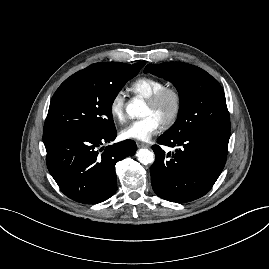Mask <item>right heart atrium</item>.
<instances>
[{"label": "right heart atrium", "instance_id": "1", "mask_svg": "<svg viewBox=\"0 0 269 269\" xmlns=\"http://www.w3.org/2000/svg\"><path fill=\"white\" fill-rule=\"evenodd\" d=\"M109 112L114 121L122 123L125 120V94L122 90L114 93L109 102Z\"/></svg>", "mask_w": 269, "mask_h": 269}]
</instances>
